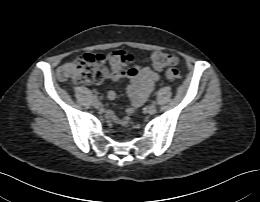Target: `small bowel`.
<instances>
[{
  "mask_svg": "<svg viewBox=\"0 0 260 202\" xmlns=\"http://www.w3.org/2000/svg\"><path fill=\"white\" fill-rule=\"evenodd\" d=\"M124 77L129 79L127 94L131 100L132 107L126 109L124 113L108 112L109 121L117 124H126L128 122V115L134 113L146 101L152 92L154 84L159 80L158 73L148 67H132L124 71L112 67L111 80L119 81ZM107 95L111 100L116 98L114 91H109Z\"/></svg>",
  "mask_w": 260,
  "mask_h": 202,
  "instance_id": "c3829d8e",
  "label": "small bowel"
}]
</instances>
